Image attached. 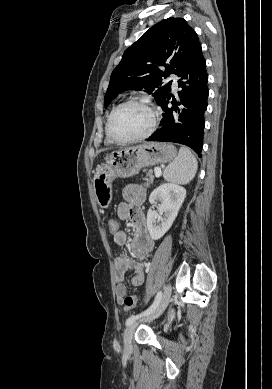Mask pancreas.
Returning a JSON list of instances; mask_svg holds the SVG:
<instances>
[{"mask_svg":"<svg viewBox=\"0 0 272 389\" xmlns=\"http://www.w3.org/2000/svg\"><path fill=\"white\" fill-rule=\"evenodd\" d=\"M147 177H149V179H147V185H148L152 183L154 179L153 171L151 169L147 171Z\"/></svg>","mask_w":272,"mask_h":389,"instance_id":"obj_1","label":"pancreas"}]
</instances>
